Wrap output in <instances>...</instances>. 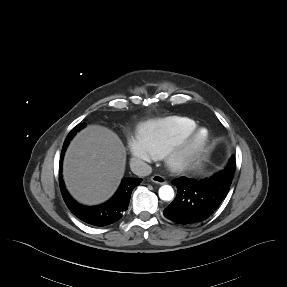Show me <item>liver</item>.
I'll list each match as a JSON object with an SVG mask.
<instances>
[{"label": "liver", "instance_id": "obj_1", "mask_svg": "<svg viewBox=\"0 0 287 287\" xmlns=\"http://www.w3.org/2000/svg\"><path fill=\"white\" fill-rule=\"evenodd\" d=\"M126 151L110 129L90 125L71 141L63 162L68 191L79 202L95 205L110 198L124 175Z\"/></svg>", "mask_w": 287, "mask_h": 287}]
</instances>
